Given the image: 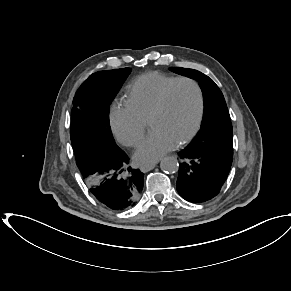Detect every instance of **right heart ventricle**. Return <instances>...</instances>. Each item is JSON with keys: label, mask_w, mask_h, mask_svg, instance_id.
<instances>
[{"label": "right heart ventricle", "mask_w": 291, "mask_h": 291, "mask_svg": "<svg viewBox=\"0 0 291 291\" xmlns=\"http://www.w3.org/2000/svg\"><path fill=\"white\" fill-rule=\"evenodd\" d=\"M176 77L149 72L137 77L129 87L126 103L145 122L158 103L162 91Z\"/></svg>", "instance_id": "obj_1"}]
</instances>
